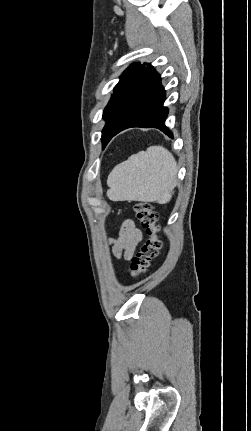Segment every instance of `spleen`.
Segmentation results:
<instances>
[{
  "instance_id": "1",
  "label": "spleen",
  "mask_w": 251,
  "mask_h": 431,
  "mask_svg": "<svg viewBox=\"0 0 251 431\" xmlns=\"http://www.w3.org/2000/svg\"><path fill=\"white\" fill-rule=\"evenodd\" d=\"M177 163L162 146H151L114 167L107 179V196L113 201L165 204L176 186Z\"/></svg>"
}]
</instances>
